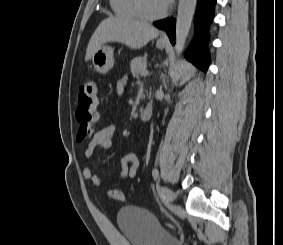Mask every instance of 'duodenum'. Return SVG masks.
<instances>
[{
    "instance_id": "1",
    "label": "duodenum",
    "mask_w": 283,
    "mask_h": 245,
    "mask_svg": "<svg viewBox=\"0 0 283 245\" xmlns=\"http://www.w3.org/2000/svg\"><path fill=\"white\" fill-rule=\"evenodd\" d=\"M153 110L150 104L145 105L141 112L140 117L143 121H149L152 118Z\"/></svg>"
}]
</instances>
